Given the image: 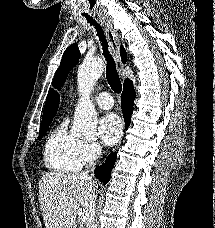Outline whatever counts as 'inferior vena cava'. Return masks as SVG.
Instances as JSON below:
<instances>
[{"label": "inferior vena cava", "mask_w": 215, "mask_h": 228, "mask_svg": "<svg viewBox=\"0 0 215 228\" xmlns=\"http://www.w3.org/2000/svg\"><path fill=\"white\" fill-rule=\"evenodd\" d=\"M98 156H101V152H97ZM94 168H91V170H87V172H83L84 176H89V172H93ZM93 194L91 196V202H90V206H89V212L91 214L89 220H88V224H87V228H95V224H94V220H93V216H94V212H95V208H96V204H95V200H96V196H95V190H92Z\"/></svg>", "instance_id": "1"}]
</instances>
